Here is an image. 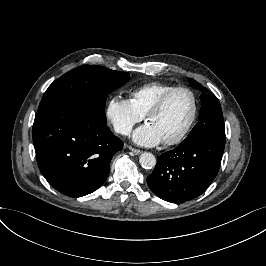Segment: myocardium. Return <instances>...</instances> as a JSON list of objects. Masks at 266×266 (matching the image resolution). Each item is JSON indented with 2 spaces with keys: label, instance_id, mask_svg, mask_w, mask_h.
I'll use <instances>...</instances> for the list:
<instances>
[{
  "label": "myocardium",
  "instance_id": "obj_1",
  "mask_svg": "<svg viewBox=\"0 0 266 266\" xmlns=\"http://www.w3.org/2000/svg\"><path fill=\"white\" fill-rule=\"evenodd\" d=\"M177 91H185L191 96L192 101H193V113L187 125L183 128V130L180 132V134L176 138L163 141V143L168 146L180 144L190 133V131L192 130L197 120L198 112H199V102H198V98H197L195 91L192 88L185 86V85L174 86L170 88L169 90L165 91L163 94H161L158 100L148 109L145 115V118L148 120V118L151 115L161 112L163 108L165 107L169 98Z\"/></svg>",
  "mask_w": 266,
  "mask_h": 266
}]
</instances>
